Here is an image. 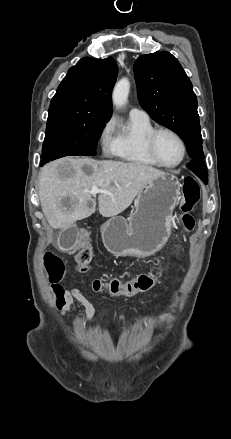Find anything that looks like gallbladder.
Here are the masks:
<instances>
[{
    "mask_svg": "<svg viewBox=\"0 0 231 439\" xmlns=\"http://www.w3.org/2000/svg\"><path fill=\"white\" fill-rule=\"evenodd\" d=\"M79 228L76 225H72L69 228L62 230L57 239L59 249L63 251L71 250L78 238Z\"/></svg>",
    "mask_w": 231,
    "mask_h": 439,
    "instance_id": "obj_1",
    "label": "gallbladder"
}]
</instances>
